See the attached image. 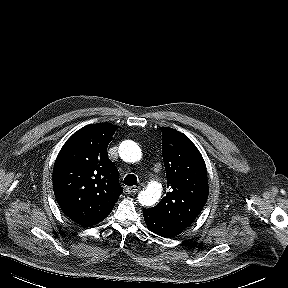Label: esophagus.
I'll list each match as a JSON object with an SVG mask.
<instances>
[{
	"label": "esophagus",
	"instance_id": "34e87169",
	"mask_svg": "<svg viewBox=\"0 0 288 288\" xmlns=\"http://www.w3.org/2000/svg\"><path fill=\"white\" fill-rule=\"evenodd\" d=\"M139 190H140L139 186H129L126 188V192L128 194H134V193L138 192Z\"/></svg>",
	"mask_w": 288,
	"mask_h": 288
}]
</instances>
